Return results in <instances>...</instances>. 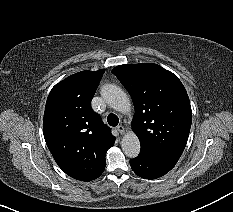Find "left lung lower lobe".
I'll return each instance as SVG.
<instances>
[{
    "instance_id": "obj_1",
    "label": "left lung lower lobe",
    "mask_w": 233,
    "mask_h": 212,
    "mask_svg": "<svg viewBox=\"0 0 233 212\" xmlns=\"http://www.w3.org/2000/svg\"><path fill=\"white\" fill-rule=\"evenodd\" d=\"M176 162L162 159L146 151H141L139 156L130 160L132 170L140 177L155 179L169 172Z\"/></svg>"
}]
</instances>
